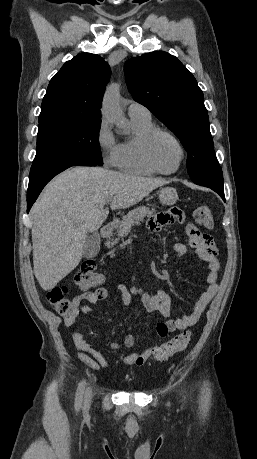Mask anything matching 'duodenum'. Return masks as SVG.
Instances as JSON below:
<instances>
[{"label": "duodenum", "instance_id": "410a0bca", "mask_svg": "<svg viewBox=\"0 0 257 459\" xmlns=\"http://www.w3.org/2000/svg\"><path fill=\"white\" fill-rule=\"evenodd\" d=\"M116 226V222L115 221H112V222H109L107 223L106 225H104L101 230H100V235L102 237H108L111 232L113 231V229L115 228Z\"/></svg>", "mask_w": 257, "mask_h": 459}]
</instances>
